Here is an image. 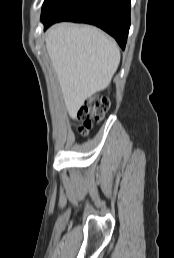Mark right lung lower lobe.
I'll use <instances>...</instances> for the list:
<instances>
[{"mask_svg":"<svg viewBox=\"0 0 174 258\" xmlns=\"http://www.w3.org/2000/svg\"><path fill=\"white\" fill-rule=\"evenodd\" d=\"M60 21L95 25L125 49L130 28V0H65L43 24L47 29Z\"/></svg>","mask_w":174,"mask_h":258,"instance_id":"1","label":"right lung lower lobe"}]
</instances>
